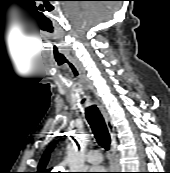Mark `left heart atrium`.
Here are the masks:
<instances>
[{
  "mask_svg": "<svg viewBox=\"0 0 170 173\" xmlns=\"http://www.w3.org/2000/svg\"><path fill=\"white\" fill-rule=\"evenodd\" d=\"M104 170L105 169L103 167H91V172L92 173H103Z\"/></svg>",
  "mask_w": 170,
  "mask_h": 173,
  "instance_id": "39dd6f15",
  "label": "left heart atrium"
}]
</instances>
